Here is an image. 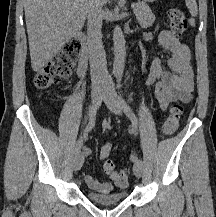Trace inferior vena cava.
Wrapping results in <instances>:
<instances>
[{
	"mask_svg": "<svg viewBox=\"0 0 216 217\" xmlns=\"http://www.w3.org/2000/svg\"><path fill=\"white\" fill-rule=\"evenodd\" d=\"M102 20V7L93 5L88 12L87 42L91 81L94 88L103 86L111 80L107 71L106 54L102 42Z\"/></svg>",
	"mask_w": 216,
	"mask_h": 217,
	"instance_id": "602c4592",
	"label": "inferior vena cava"
}]
</instances>
